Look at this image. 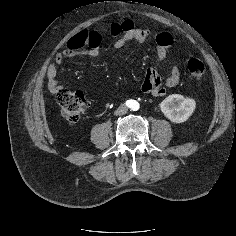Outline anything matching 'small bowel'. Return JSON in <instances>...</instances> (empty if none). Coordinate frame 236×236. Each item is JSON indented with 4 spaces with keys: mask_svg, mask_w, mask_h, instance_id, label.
<instances>
[{
    "mask_svg": "<svg viewBox=\"0 0 236 236\" xmlns=\"http://www.w3.org/2000/svg\"><path fill=\"white\" fill-rule=\"evenodd\" d=\"M108 33L115 37L114 48H123L129 41H135L144 44L149 40L152 41L156 54L159 59L166 58L169 50L174 44L173 36L168 32H160L155 36H151L146 29L136 28L132 21L126 20L121 23H111L107 29ZM102 35L96 30H81L67 43V48L58 53L55 57L56 64H62L66 59L74 57L79 54H85L95 57L100 53ZM177 55L182 56V51L177 50ZM58 69L55 64H50L46 71L47 85L51 93L62 87L57 80ZM181 78L180 69L176 65H172L169 74L163 82L159 74L149 69L141 83V90L146 94L153 96H163L167 88H173L178 85Z\"/></svg>",
    "mask_w": 236,
    "mask_h": 236,
    "instance_id": "small-bowel-1",
    "label": "small bowel"
}]
</instances>
